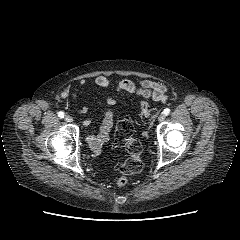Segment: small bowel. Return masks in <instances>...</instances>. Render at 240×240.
I'll use <instances>...</instances> for the list:
<instances>
[{"label":"small bowel","mask_w":240,"mask_h":240,"mask_svg":"<svg viewBox=\"0 0 240 240\" xmlns=\"http://www.w3.org/2000/svg\"><path fill=\"white\" fill-rule=\"evenodd\" d=\"M86 83L85 80L80 81L79 85L71 89L69 86H66L60 93L61 98L71 97L76 99L80 93V87ZM89 84L93 87L99 89L106 96V102L108 105L113 106L116 103V100L109 94L113 89V85L109 79L103 75L97 76L89 81ZM115 89L118 92H127L131 94H136L141 97L151 98L155 101H166L167 99V88L160 83L148 80L140 79L137 81H132L129 79H120L116 85ZM88 111L86 106H83L77 109V113L84 114ZM117 120L115 114L112 110H107L105 112L103 121L97 133L90 134L86 138V142L92 150H98L101 146L108 141L109 133L114 125V122ZM90 120L84 121V125H89Z\"/></svg>","instance_id":"obj_1"}]
</instances>
